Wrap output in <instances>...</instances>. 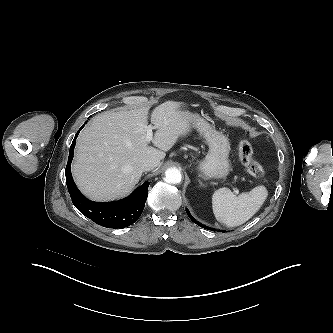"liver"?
Listing matches in <instances>:
<instances>
[{"mask_svg":"<svg viewBox=\"0 0 333 333\" xmlns=\"http://www.w3.org/2000/svg\"><path fill=\"white\" fill-rule=\"evenodd\" d=\"M180 105L166 102L151 113L156 129L152 143L145 140L146 108L107 111L95 116L79 134L72 174L79 189L90 199L110 201L131 192L140 180L145 159L165 158L179 137L190 129L189 116Z\"/></svg>","mask_w":333,"mask_h":333,"instance_id":"1","label":"liver"}]
</instances>
